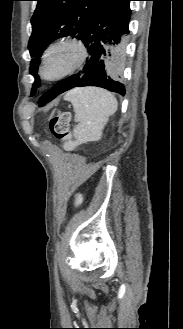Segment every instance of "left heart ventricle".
Instances as JSON below:
<instances>
[{"instance_id":"b2bd125f","label":"left heart ventricle","mask_w":183,"mask_h":329,"mask_svg":"<svg viewBox=\"0 0 183 329\" xmlns=\"http://www.w3.org/2000/svg\"><path fill=\"white\" fill-rule=\"evenodd\" d=\"M79 51L73 45H61L51 51L44 65L47 77L57 76L67 71L78 61Z\"/></svg>"}]
</instances>
